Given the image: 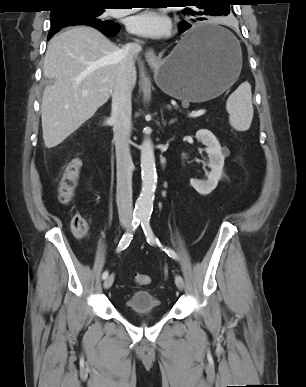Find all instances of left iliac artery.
<instances>
[{
    "label": "left iliac artery",
    "instance_id": "obj_1",
    "mask_svg": "<svg viewBox=\"0 0 306 387\" xmlns=\"http://www.w3.org/2000/svg\"><path fill=\"white\" fill-rule=\"evenodd\" d=\"M149 219L150 218H148V217H144V218L141 219V227H142V229L144 231V234L146 236L147 242L149 244H151V245L157 244L159 247H161L163 249V251H165L168 254V256H170L173 259H177V255H176V253L172 249H170L168 247H163L159 243L157 238H155V235H154V233L152 231V228L150 226Z\"/></svg>",
    "mask_w": 306,
    "mask_h": 387
}]
</instances>
